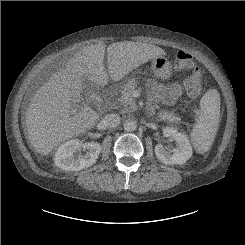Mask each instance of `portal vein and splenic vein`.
<instances>
[{
	"label": "portal vein and splenic vein",
	"instance_id": "portal-vein-and-splenic-vein-1",
	"mask_svg": "<svg viewBox=\"0 0 245 245\" xmlns=\"http://www.w3.org/2000/svg\"><path fill=\"white\" fill-rule=\"evenodd\" d=\"M76 111H77V109L75 108V109L72 110V113H76Z\"/></svg>",
	"mask_w": 245,
	"mask_h": 245
}]
</instances>
